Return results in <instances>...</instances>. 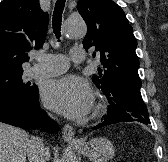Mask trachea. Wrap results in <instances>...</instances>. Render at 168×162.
<instances>
[{
  "label": "trachea",
  "mask_w": 168,
  "mask_h": 162,
  "mask_svg": "<svg viewBox=\"0 0 168 162\" xmlns=\"http://www.w3.org/2000/svg\"><path fill=\"white\" fill-rule=\"evenodd\" d=\"M64 6H65V0H57L53 11L52 25H53L54 33L58 39L61 36L60 30H61L62 13L64 10Z\"/></svg>",
  "instance_id": "1"
}]
</instances>
